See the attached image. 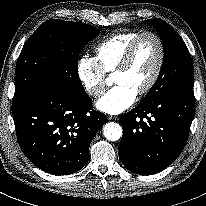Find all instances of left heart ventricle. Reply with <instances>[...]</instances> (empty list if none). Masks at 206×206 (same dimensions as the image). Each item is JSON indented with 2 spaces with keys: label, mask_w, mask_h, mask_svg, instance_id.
I'll return each instance as SVG.
<instances>
[{
  "label": "left heart ventricle",
  "mask_w": 206,
  "mask_h": 206,
  "mask_svg": "<svg viewBox=\"0 0 206 206\" xmlns=\"http://www.w3.org/2000/svg\"><path fill=\"white\" fill-rule=\"evenodd\" d=\"M159 56L157 42L150 36L144 37L135 52L129 68L114 74L116 85H125L137 93L150 80L156 68Z\"/></svg>",
  "instance_id": "b2bd125f"
}]
</instances>
